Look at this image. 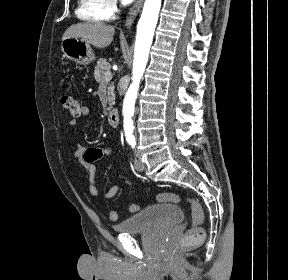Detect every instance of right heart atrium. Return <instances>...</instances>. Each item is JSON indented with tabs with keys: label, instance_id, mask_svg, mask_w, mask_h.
Segmentation results:
<instances>
[{
	"label": "right heart atrium",
	"instance_id": "1",
	"mask_svg": "<svg viewBox=\"0 0 288 280\" xmlns=\"http://www.w3.org/2000/svg\"><path fill=\"white\" fill-rule=\"evenodd\" d=\"M105 10L108 18H112L118 11L117 0H105Z\"/></svg>",
	"mask_w": 288,
	"mask_h": 280
}]
</instances>
